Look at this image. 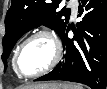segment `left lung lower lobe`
<instances>
[{
  "mask_svg": "<svg viewBox=\"0 0 107 89\" xmlns=\"http://www.w3.org/2000/svg\"><path fill=\"white\" fill-rule=\"evenodd\" d=\"M78 30L67 37L69 27L60 36L65 54L50 73L36 79L83 83L92 89L107 84V0H80Z\"/></svg>",
  "mask_w": 107,
  "mask_h": 89,
  "instance_id": "0a47b994",
  "label": "left lung lower lobe"
}]
</instances>
